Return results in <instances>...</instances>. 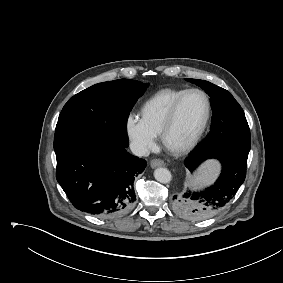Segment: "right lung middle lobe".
Returning <instances> with one entry per match:
<instances>
[{"label":"right lung middle lobe","mask_w":283,"mask_h":283,"mask_svg":"<svg viewBox=\"0 0 283 283\" xmlns=\"http://www.w3.org/2000/svg\"><path fill=\"white\" fill-rule=\"evenodd\" d=\"M148 84L119 79L95 84L69 99L55 129L58 154L87 139L105 138L128 147L127 119Z\"/></svg>","instance_id":"obj_1"}]
</instances>
